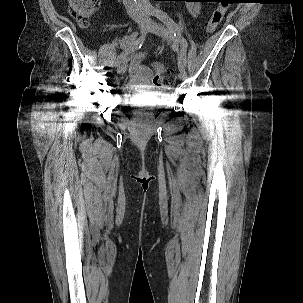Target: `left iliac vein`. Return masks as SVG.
<instances>
[{"label": "left iliac vein", "mask_w": 303, "mask_h": 303, "mask_svg": "<svg viewBox=\"0 0 303 303\" xmlns=\"http://www.w3.org/2000/svg\"><path fill=\"white\" fill-rule=\"evenodd\" d=\"M148 27L151 32L163 37L164 39H167L172 44V48L174 51L178 50L180 45V39L174 36V32L171 29L166 28L165 26L156 23L152 20L148 21ZM179 71V78L183 80L186 76L185 67L179 66Z\"/></svg>", "instance_id": "1"}]
</instances>
